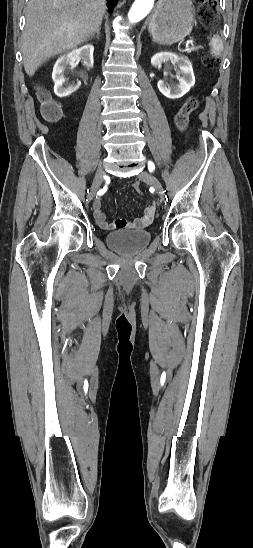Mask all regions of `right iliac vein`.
Masks as SVG:
<instances>
[{"label":"right iliac vein","mask_w":253,"mask_h":548,"mask_svg":"<svg viewBox=\"0 0 253 548\" xmlns=\"http://www.w3.org/2000/svg\"><path fill=\"white\" fill-rule=\"evenodd\" d=\"M103 177H104V170H103L102 166H99L98 169H97V172L95 174V177H94L92 186L90 188V191L88 192V199L89 200H92L94 198L98 188L100 187V185L103 181Z\"/></svg>","instance_id":"obj_1"}]
</instances>
